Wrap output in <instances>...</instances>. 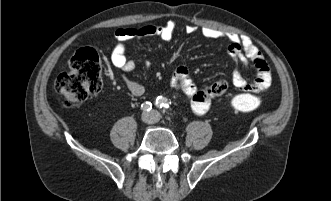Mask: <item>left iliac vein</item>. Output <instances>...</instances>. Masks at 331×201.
<instances>
[{
  "label": "left iliac vein",
  "instance_id": "obj_1",
  "mask_svg": "<svg viewBox=\"0 0 331 201\" xmlns=\"http://www.w3.org/2000/svg\"><path fill=\"white\" fill-rule=\"evenodd\" d=\"M152 115L156 121L160 119V114L157 111H152Z\"/></svg>",
  "mask_w": 331,
  "mask_h": 201
}]
</instances>
